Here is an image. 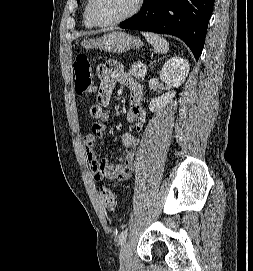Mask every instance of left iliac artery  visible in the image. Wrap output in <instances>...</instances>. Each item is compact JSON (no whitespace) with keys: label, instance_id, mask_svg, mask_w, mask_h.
I'll use <instances>...</instances> for the list:
<instances>
[{"label":"left iliac artery","instance_id":"1","mask_svg":"<svg viewBox=\"0 0 253 271\" xmlns=\"http://www.w3.org/2000/svg\"><path fill=\"white\" fill-rule=\"evenodd\" d=\"M126 238H127V230H124V231H122V232L120 233V235H119V243H120L121 245H123L124 242L126 241Z\"/></svg>","mask_w":253,"mask_h":271}]
</instances>
